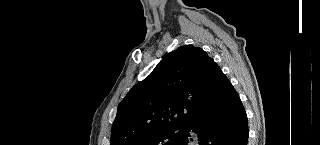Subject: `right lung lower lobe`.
Returning a JSON list of instances; mask_svg holds the SVG:
<instances>
[{
	"instance_id": "obj_1",
	"label": "right lung lower lobe",
	"mask_w": 320,
	"mask_h": 145,
	"mask_svg": "<svg viewBox=\"0 0 320 145\" xmlns=\"http://www.w3.org/2000/svg\"><path fill=\"white\" fill-rule=\"evenodd\" d=\"M215 93L212 108L184 127V135L177 145H247V115L226 76Z\"/></svg>"
}]
</instances>
